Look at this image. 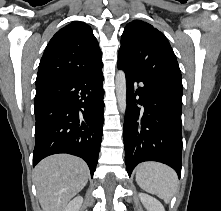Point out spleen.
Here are the masks:
<instances>
[{"label":"spleen","instance_id":"1","mask_svg":"<svg viewBox=\"0 0 221 211\" xmlns=\"http://www.w3.org/2000/svg\"><path fill=\"white\" fill-rule=\"evenodd\" d=\"M136 182L146 192L169 203L178 188L174 170L157 162H145L136 168Z\"/></svg>","mask_w":221,"mask_h":211}]
</instances>
